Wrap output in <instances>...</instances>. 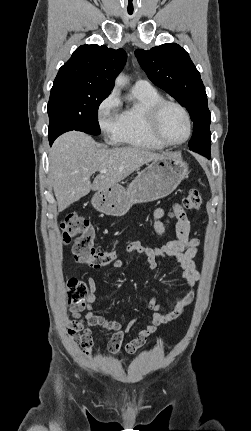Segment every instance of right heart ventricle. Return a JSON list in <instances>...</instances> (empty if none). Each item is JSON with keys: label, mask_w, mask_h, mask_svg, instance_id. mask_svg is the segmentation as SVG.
<instances>
[{"label": "right heart ventricle", "mask_w": 251, "mask_h": 431, "mask_svg": "<svg viewBox=\"0 0 251 431\" xmlns=\"http://www.w3.org/2000/svg\"><path fill=\"white\" fill-rule=\"evenodd\" d=\"M137 103L121 112L119 127L114 135L117 142L145 149L160 150L164 145L150 134L147 127V111L158 100L162 99L154 89H134Z\"/></svg>", "instance_id": "1"}]
</instances>
